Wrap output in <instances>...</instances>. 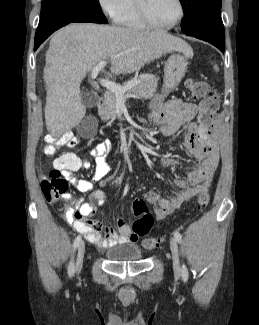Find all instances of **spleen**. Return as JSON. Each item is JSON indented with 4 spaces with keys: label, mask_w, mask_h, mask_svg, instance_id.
Here are the masks:
<instances>
[{
    "label": "spleen",
    "mask_w": 259,
    "mask_h": 325,
    "mask_svg": "<svg viewBox=\"0 0 259 325\" xmlns=\"http://www.w3.org/2000/svg\"><path fill=\"white\" fill-rule=\"evenodd\" d=\"M214 69H215V71H218L219 70V68H218L217 65H214Z\"/></svg>",
    "instance_id": "spleen-1"
}]
</instances>
